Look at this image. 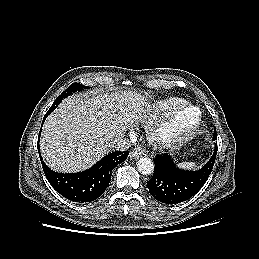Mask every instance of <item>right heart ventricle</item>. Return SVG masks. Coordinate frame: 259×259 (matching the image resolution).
<instances>
[{"label":"right heart ventricle","instance_id":"obj_1","mask_svg":"<svg viewBox=\"0 0 259 259\" xmlns=\"http://www.w3.org/2000/svg\"><path fill=\"white\" fill-rule=\"evenodd\" d=\"M186 101L181 98L171 97L163 100H159L149 106L145 119L151 120L158 115H165L172 110L185 105Z\"/></svg>","mask_w":259,"mask_h":259}]
</instances>
